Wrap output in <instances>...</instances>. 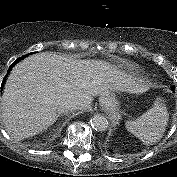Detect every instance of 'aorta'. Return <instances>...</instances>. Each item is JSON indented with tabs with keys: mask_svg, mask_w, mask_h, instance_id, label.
I'll return each mask as SVG.
<instances>
[{
	"mask_svg": "<svg viewBox=\"0 0 177 177\" xmlns=\"http://www.w3.org/2000/svg\"><path fill=\"white\" fill-rule=\"evenodd\" d=\"M90 123H91L92 128L99 132H103L107 130L109 126L108 120L104 116H101V115L93 116L90 120Z\"/></svg>",
	"mask_w": 177,
	"mask_h": 177,
	"instance_id": "762f6f07",
	"label": "aorta"
}]
</instances>
